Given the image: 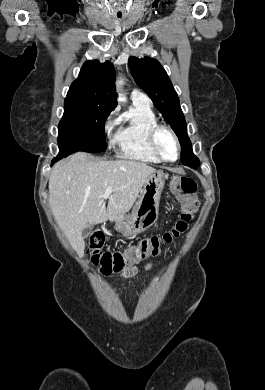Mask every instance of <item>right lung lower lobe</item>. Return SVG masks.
Instances as JSON below:
<instances>
[{"instance_id": "98d812e1", "label": "right lung lower lobe", "mask_w": 265, "mask_h": 390, "mask_svg": "<svg viewBox=\"0 0 265 390\" xmlns=\"http://www.w3.org/2000/svg\"><path fill=\"white\" fill-rule=\"evenodd\" d=\"M60 158L57 156L56 158H54L53 160H52V165L57 161V160H59Z\"/></svg>"}]
</instances>
